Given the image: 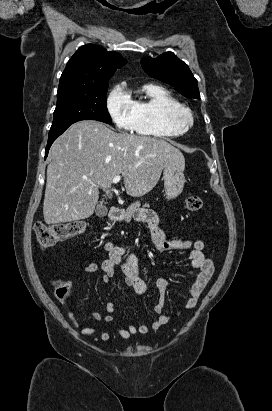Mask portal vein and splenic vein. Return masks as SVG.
<instances>
[{
    "label": "portal vein and splenic vein",
    "mask_w": 272,
    "mask_h": 411,
    "mask_svg": "<svg viewBox=\"0 0 272 411\" xmlns=\"http://www.w3.org/2000/svg\"><path fill=\"white\" fill-rule=\"evenodd\" d=\"M120 180H121V176L117 175L112 179L111 183L115 184V183H118Z\"/></svg>",
    "instance_id": "1"
}]
</instances>
